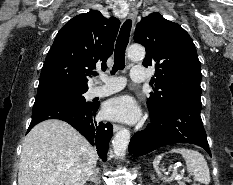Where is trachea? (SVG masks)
<instances>
[{"label": "trachea", "instance_id": "obj_1", "mask_svg": "<svg viewBox=\"0 0 233 185\" xmlns=\"http://www.w3.org/2000/svg\"><path fill=\"white\" fill-rule=\"evenodd\" d=\"M131 26L132 21L126 20L120 29L114 50V66L112 69L113 74L117 70H123L125 67V51L129 42ZM94 75L96 76V73Z\"/></svg>", "mask_w": 233, "mask_h": 185}]
</instances>
